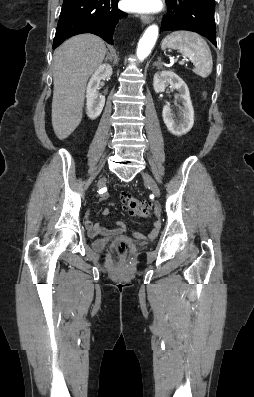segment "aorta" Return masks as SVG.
<instances>
[{
	"mask_svg": "<svg viewBox=\"0 0 254 397\" xmlns=\"http://www.w3.org/2000/svg\"><path fill=\"white\" fill-rule=\"evenodd\" d=\"M158 37V26L151 25L147 28L140 39L137 48V57L140 60L145 59L151 52Z\"/></svg>",
	"mask_w": 254,
	"mask_h": 397,
	"instance_id": "aorta-1",
	"label": "aorta"
}]
</instances>
